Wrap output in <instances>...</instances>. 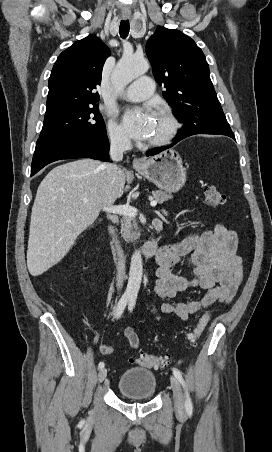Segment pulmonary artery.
Here are the masks:
<instances>
[{
    "instance_id": "pulmonary-artery-1",
    "label": "pulmonary artery",
    "mask_w": 272,
    "mask_h": 452,
    "mask_svg": "<svg viewBox=\"0 0 272 452\" xmlns=\"http://www.w3.org/2000/svg\"><path fill=\"white\" fill-rule=\"evenodd\" d=\"M154 91V83L149 77H141L128 87L124 98L132 102L148 99Z\"/></svg>"
}]
</instances>
